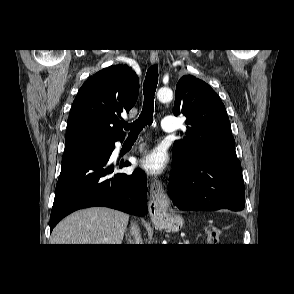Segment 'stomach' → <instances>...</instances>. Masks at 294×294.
<instances>
[{
	"label": "stomach",
	"mask_w": 294,
	"mask_h": 294,
	"mask_svg": "<svg viewBox=\"0 0 294 294\" xmlns=\"http://www.w3.org/2000/svg\"><path fill=\"white\" fill-rule=\"evenodd\" d=\"M183 225V219L179 216L167 215L160 222V227L167 228L171 231H178Z\"/></svg>",
	"instance_id": "1"
}]
</instances>
